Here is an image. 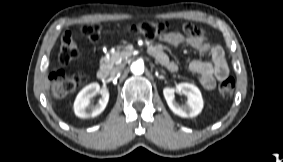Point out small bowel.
<instances>
[{
    "instance_id": "small-bowel-1",
    "label": "small bowel",
    "mask_w": 283,
    "mask_h": 162,
    "mask_svg": "<svg viewBox=\"0 0 283 162\" xmlns=\"http://www.w3.org/2000/svg\"><path fill=\"white\" fill-rule=\"evenodd\" d=\"M185 33L172 31L161 35L160 39L168 44L177 46L187 44L200 54H209L211 62L194 60L189 69L199 77L200 84L207 90L215 88L217 81H222L229 75V67L222 47L212 45L203 31L192 25L184 26ZM156 54L153 55L159 63L170 71L177 70V64L159 47H153ZM151 53V52H150Z\"/></svg>"
}]
</instances>
